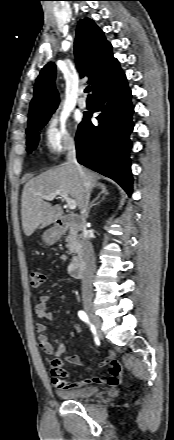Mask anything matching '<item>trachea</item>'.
<instances>
[{"label":"trachea","mask_w":174,"mask_h":440,"mask_svg":"<svg viewBox=\"0 0 174 440\" xmlns=\"http://www.w3.org/2000/svg\"><path fill=\"white\" fill-rule=\"evenodd\" d=\"M90 91H91V87H90V86H87L86 89H85V92H86V93H89ZM88 97L91 98V97H93V96L89 94Z\"/></svg>","instance_id":"3493384b"}]
</instances>
